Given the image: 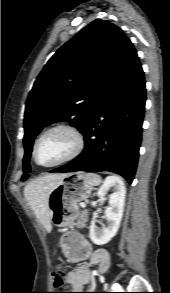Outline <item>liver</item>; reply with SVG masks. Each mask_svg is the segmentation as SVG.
<instances>
[{"label": "liver", "instance_id": "6515ba94", "mask_svg": "<svg viewBox=\"0 0 170 293\" xmlns=\"http://www.w3.org/2000/svg\"><path fill=\"white\" fill-rule=\"evenodd\" d=\"M67 174H46L28 183L24 188V196L38 221L51 231V213L49 210V196L52 188Z\"/></svg>", "mask_w": 170, "mask_h": 293}]
</instances>
